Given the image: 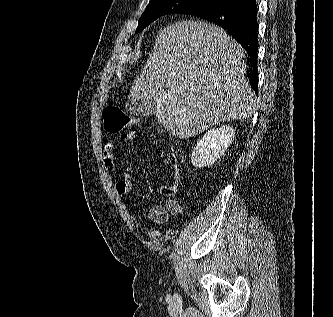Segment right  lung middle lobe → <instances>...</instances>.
<instances>
[{
    "mask_svg": "<svg viewBox=\"0 0 333 317\" xmlns=\"http://www.w3.org/2000/svg\"><path fill=\"white\" fill-rule=\"evenodd\" d=\"M227 2V0H150L138 22L136 32L143 30L154 20L167 14L195 15L199 12L213 10Z\"/></svg>",
    "mask_w": 333,
    "mask_h": 317,
    "instance_id": "obj_1",
    "label": "right lung middle lobe"
}]
</instances>
